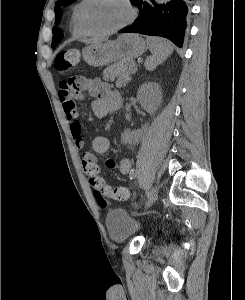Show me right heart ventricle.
Masks as SVG:
<instances>
[{
    "label": "right heart ventricle",
    "instance_id": "obj_1",
    "mask_svg": "<svg viewBox=\"0 0 245 300\" xmlns=\"http://www.w3.org/2000/svg\"><path fill=\"white\" fill-rule=\"evenodd\" d=\"M81 3H82V1H80L74 5V7L72 9L71 21H70L72 32L74 34L80 35V36L85 35V33L82 31V29L80 28V26L78 25V22H77V11H78Z\"/></svg>",
    "mask_w": 245,
    "mask_h": 300
}]
</instances>
